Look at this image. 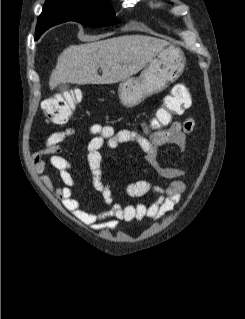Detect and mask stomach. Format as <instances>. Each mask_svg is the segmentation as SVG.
I'll return each instance as SVG.
<instances>
[{
  "label": "stomach",
  "mask_w": 245,
  "mask_h": 319,
  "mask_svg": "<svg viewBox=\"0 0 245 319\" xmlns=\"http://www.w3.org/2000/svg\"><path fill=\"white\" fill-rule=\"evenodd\" d=\"M186 65L183 51L168 45L155 55L138 77L123 80L118 87L121 103L135 107L147 97L162 92L182 74Z\"/></svg>",
  "instance_id": "stomach-1"
}]
</instances>
